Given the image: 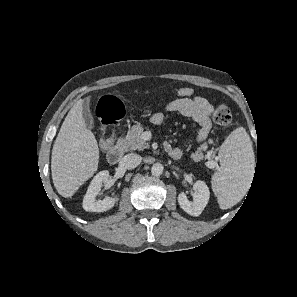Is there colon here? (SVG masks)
I'll list each match as a JSON object with an SVG mask.
<instances>
[{
	"label": "colon",
	"instance_id": "1",
	"mask_svg": "<svg viewBox=\"0 0 297 297\" xmlns=\"http://www.w3.org/2000/svg\"><path fill=\"white\" fill-rule=\"evenodd\" d=\"M177 96L180 98H190L194 95V89L191 87H183L177 90ZM95 114L100 126V130L104 135L101 139V149L103 151L110 147V139L107 133L123 116V106L121 101L113 95L103 96L97 103ZM212 119L217 125H228L232 120V112L228 105H218L212 115Z\"/></svg>",
	"mask_w": 297,
	"mask_h": 297
}]
</instances>
